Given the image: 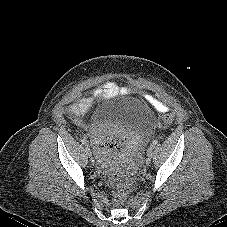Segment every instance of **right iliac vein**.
Returning <instances> with one entry per match:
<instances>
[{"mask_svg":"<svg viewBox=\"0 0 227 227\" xmlns=\"http://www.w3.org/2000/svg\"><path fill=\"white\" fill-rule=\"evenodd\" d=\"M85 152H86L87 156H89V157L92 156V152H91V150H90L88 145H85Z\"/></svg>","mask_w":227,"mask_h":227,"instance_id":"obj_1","label":"right iliac vein"}]
</instances>
